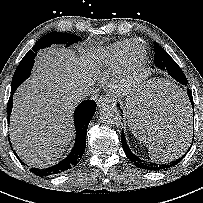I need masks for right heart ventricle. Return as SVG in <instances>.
I'll use <instances>...</instances> for the list:
<instances>
[{
    "label": "right heart ventricle",
    "mask_w": 203,
    "mask_h": 203,
    "mask_svg": "<svg viewBox=\"0 0 203 203\" xmlns=\"http://www.w3.org/2000/svg\"><path fill=\"white\" fill-rule=\"evenodd\" d=\"M131 41H121L95 50L90 54L91 65L107 70L116 69L121 63Z\"/></svg>",
    "instance_id": "right-heart-ventricle-1"
}]
</instances>
